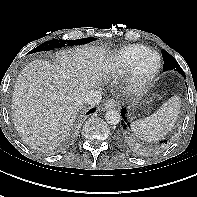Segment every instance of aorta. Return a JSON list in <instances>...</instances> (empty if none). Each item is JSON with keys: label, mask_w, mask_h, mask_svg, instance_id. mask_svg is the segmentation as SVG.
<instances>
[{"label": "aorta", "mask_w": 197, "mask_h": 197, "mask_svg": "<svg viewBox=\"0 0 197 197\" xmlns=\"http://www.w3.org/2000/svg\"><path fill=\"white\" fill-rule=\"evenodd\" d=\"M105 120L110 125H116L120 122L121 115L118 111L110 109L105 114Z\"/></svg>", "instance_id": "762f6f07"}]
</instances>
